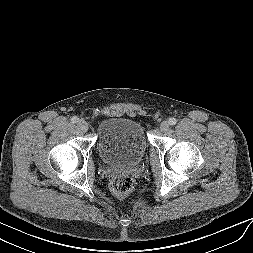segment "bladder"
Instances as JSON below:
<instances>
[{"label":"bladder","mask_w":253,"mask_h":253,"mask_svg":"<svg viewBox=\"0 0 253 253\" xmlns=\"http://www.w3.org/2000/svg\"><path fill=\"white\" fill-rule=\"evenodd\" d=\"M147 146L145 129L136 120L112 117L104 119L98 126L97 150L107 165L138 164Z\"/></svg>","instance_id":"1"}]
</instances>
